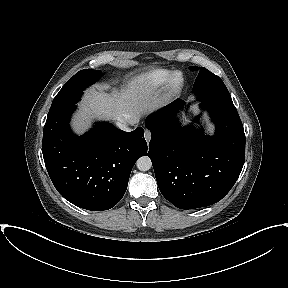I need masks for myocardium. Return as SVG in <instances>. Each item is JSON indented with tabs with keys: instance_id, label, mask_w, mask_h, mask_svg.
Segmentation results:
<instances>
[{
	"instance_id": "f54148a6",
	"label": "myocardium",
	"mask_w": 288,
	"mask_h": 288,
	"mask_svg": "<svg viewBox=\"0 0 288 288\" xmlns=\"http://www.w3.org/2000/svg\"><path fill=\"white\" fill-rule=\"evenodd\" d=\"M184 84L183 74L179 71L173 72L167 80V89L170 93H177Z\"/></svg>"
}]
</instances>
